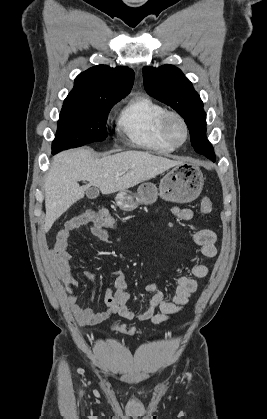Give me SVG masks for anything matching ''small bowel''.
<instances>
[{
	"mask_svg": "<svg viewBox=\"0 0 267 419\" xmlns=\"http://www.w3.org/2000/svg\"><path fill=\"white\" fill-rule=\"evenodd\" d=\"M173 213L184 221H190L194 218L193 211L188 208L174 207ZM86 225L90 226L91 233L100 240L105 242L112 240V234L100 224L97 216L93 212L87 211L71 218L60 228L56 242L49 251L54 274L64 285L67 304L81 326L99 324L116 314L128 320H151L154 324L163 323L184 308L192 294L198 289V279L205 278L209 274V268L206 265L201 263L192 264L189 275H178L174 278L175 293L169 300L165 299L163 292L156 283L148 284L147 290L152 292L153 295L146 309L140 314H136L127 305L130 294L127 291L126 275L122 270H115L112 273L115 277L113 287L107 288L105 292L107 308L102 311H95L89 307H84L77 300L78 282L71 267L72 257L69 253V239L72 232ZM192 240L198 246V252L203 257L213 258L217 255V237L214 231L198 229L193 233ZM83 275L91 283L94 282V275L90 271L85 270ZM156 309L159 312H156Z\"/></svg>",
	"mask_w": 267,
	"mask_h": 419,
	"instance_id": "1",
	"label": "small bowel"
}]
</instances>
